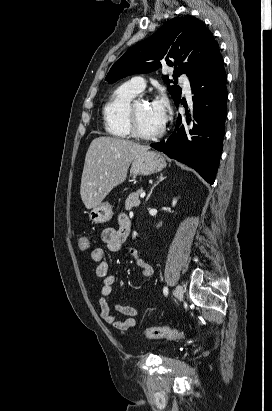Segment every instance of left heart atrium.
<instances>
[{
    "label": "left heart atrium",
    "instance_id": "obj_1",
    "mask_svg": "<svg viewBox=\"0 0 272 411\" xmlns=\"http://www.w3.org/2000/svg\"><path fill=\"white\" fill-rule=\"evenodd\" d=\"M151 112L158 123L164 124L166 120V100L159 97L150 103Z\"/></svg>",
    "mask_w": 272,
    "mask_h": 411
}]
</instances>
